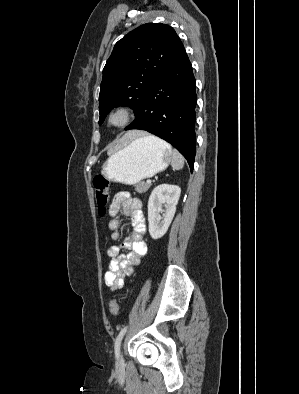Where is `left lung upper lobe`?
<instances>
[{
    "mask_svg": "<svg viewBox=\"0 0 299 394\" xmlns=\"http://www.w3.org/2000/svg\"><path fill=\"white\" fill-rule=\"evenodd\" d=\"M183 50L175 30L162 23L141 25L119 40L103 69L99 124L119 105L136 113L152 83Z\"/></svg>",
    "mask_w": 299,
    "mask_h": 394,
    "instance_id": "obj_1",
    "label": "left lung upper lobe"
}]
</instances>
